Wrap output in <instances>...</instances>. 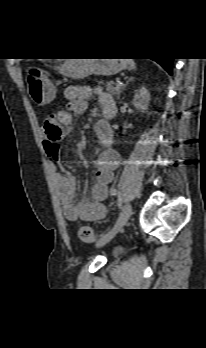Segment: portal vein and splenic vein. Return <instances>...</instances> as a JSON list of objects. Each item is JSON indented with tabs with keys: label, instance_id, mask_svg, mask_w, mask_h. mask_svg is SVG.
I'll list each match as a JSON object with an SVG mask.
<instances>
[{
	"label": "portal vein and splenic vein",
	"instance_id": "18ae733b",
	"mask_svg": "<svg viewBox=\"0 0 206 348\" xmlns=\"http://www.w3.org/2000/svg\"><path fill=\"white\" fill-rule=\"evenodd\" d=\"M120 86H121L120 82L116 83V87H120Z\"/></svg>",
	"mask_w": 206,
	"mask_h": 348
}]
</instances>
